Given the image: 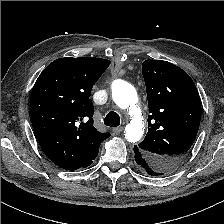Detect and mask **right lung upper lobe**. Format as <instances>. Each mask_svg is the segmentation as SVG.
Listing matches in <instances>:
<instances>
[{
  "mask_svg": "<svg viewBox=\"0 0 224 224\" xmlns=\"http://www.w3.org/2000/svg\"><path fill=\"white\" fill-rule=\"evenodd\" d=\"M110 65L94 57L60 58L35 82L30 113L35 137L47 157L66 170L92 164L102 141L110 136L93 126V85Z\"/></svg>",
  "mask_w": 224,
  "mask_h": 224,
  "instance_id": "right-lung-upper-lobe-1",
  "label": "right lung upper lobe"
}]
</instances>
